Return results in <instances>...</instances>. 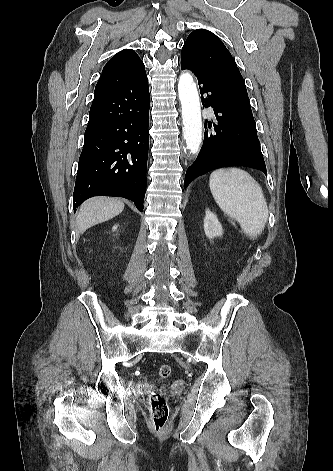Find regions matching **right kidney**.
I'll list each match as a JSON object with an SVG mask.
<instances>
[{
	"instance_id": "1",
	"label": "right kidney",
	"mask_w": 333,
	"mask_h": 471,
	"mask_svg": "<svg viewBox=\"0 0 333 471\" xmlns=\"http://www.w3.org/2000/svg\"><path fill=\"white\" fill-rule=\"evenodd\" d=\"M116 229H117V226H114V227H113V230H116Z\"/></svg>"
}]
</instances>
